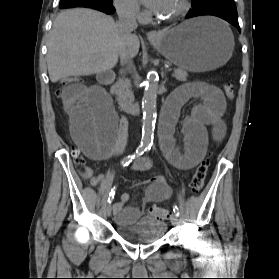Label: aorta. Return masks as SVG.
<instances>
[{
	"instance_id": "762f6f07",
	"label": "aorta",
	"mask_w": 279,
	"mask_h": 279,
	"mask_svg": "<svg viewBox=\"0 0 279 279\" xmlns=\"http://www.w3.org/2000/svg\"><path fill=\"white\" fill-rule=\"evenodd\" d=\"M157 90L158 74L155 70H150L147 75L144 96L142 98L143 127L141 143L144 146L150 145L153 141L156 121Z\"/></svg>"
}]
</instances>
